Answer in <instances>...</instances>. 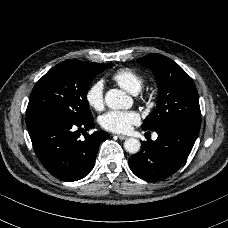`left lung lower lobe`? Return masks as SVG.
<instances>
[{
    "label": "left lung lower lobe",
    "mask_w": 228,
    "mask_h": 228,
    "mask_svg": "<svg viewBox=\"0 0 228 228\" xmlns=\"http://www.w3.org/2000/svg\"><path fill=\"white\" fill-rule=\"evenodd\" d=\"M156 132L158 138L155 141H143L141 150L129 158L132 172L150 182L168 178L183 165L199 131L182 126H166Z\"/></svg>",
    "instance_id": "1"
}]
</instances>
